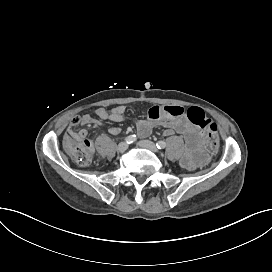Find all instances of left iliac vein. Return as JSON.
<instances>
[{
	"label": "left iliac vein",
	"mask_w": 272,
	"mask_h": 272,
	"mask_svg": "<svg viewBox=\"0 0 272 272\" xmlns=\"http://www.w3.org/2000/svg\"><path fill=\"white\" fill-rule=\"evenodd\" d=\"M138 145L141 148L149 149L150 151L154 153L158 151L157 146L152 141H149V140H141L138 142Z\"/></svg>",
	"instance_id": "1"
}]
</instances>
